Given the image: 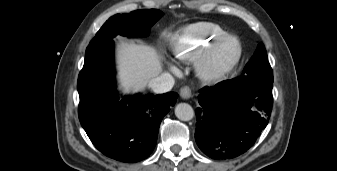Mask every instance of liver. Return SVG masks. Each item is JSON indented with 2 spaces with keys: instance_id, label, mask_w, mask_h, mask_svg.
<instances>
[{
  "instance_id": "liver-1",
  "label": "liver",
  "mask_w": 337,
  "mask_h": 171,
  "mask_svg": "<svg viewBox=\"0 0 337 171\" xmlns=\"http://www.w3.org/2000/svg\"><path fill=\"white\" fill-rule=\"evenodd\" d=\"M119 81L123 92L142 90L162 71L156 51L146 45L120 42L117 49Z\"/></svg>"
}]
</instances>
